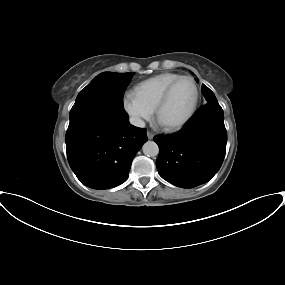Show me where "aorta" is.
Instances as JSON below:
<instances>
[{
    "mask_svg": "<svg viewBox=\"0 0 285 285\" xmlns=\"http://www.w3.org/2000/svg\"><path fill=\"white\" fill-rule=\"evenodd\" d=\"M143 153L148 157L157 156L159 153V147L154 141H147L142 147Z\"/></svg>",
    "mask_w": 285,
    "mask_h": 285,
    "instance_id": "762f6f07",
    "label": "aorta"
}]
</instances>
